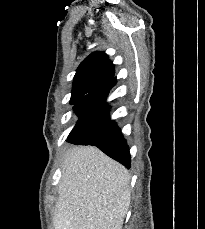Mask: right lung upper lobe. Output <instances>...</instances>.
<instances>
[{
  "label": "right lung upper lobe",
  "instance_id": "1",
  "mask_svg": "<svg viewBox=\"0 0 205 229\" xmlns=\"http://www.w3.org/2000/svg\"><path fill=\"white\" fill-rule=\"evenodd\" d=\"M114 65L104 52H93L78 67L73 83L72 101L101 86L114 76Z\"/></svg>",
  "mask_w": 205,
  "mask_h": 229
}]
</instances>
